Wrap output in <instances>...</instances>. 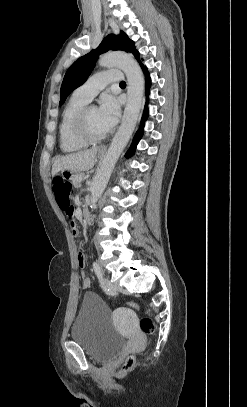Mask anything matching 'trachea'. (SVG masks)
<instances>
[{"instance_id":"trachea-1","label":"trachea","mask_w":247,"mask_h":407,"mask_svg":"<svg viewBox=\"0 0 247 407\" xmlns=\"http://www.w3.org/2000/svg\"><path fill=\"white\" fill-rule=\"evenodd\" d=\"M120 85H126V83L125 82H120Z\"/></svg>"}]
</instances>
